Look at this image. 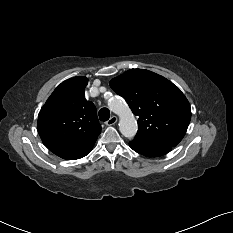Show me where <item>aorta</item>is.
<instances>
[{
	"label": "aorta",
	"instance_id": "762f6f07",
	"mask_svg": "<svg viewBox=\"0 0 233 233\" xmlns=\"http://www.w3.org/2000/svg\"><path fill=\"white\" fill-rule=\"evenodd\" d=\"M109 107L120 118L119 130L121 134L127 138L134 137L137 133L138 126L128 104L122 98L115 97L110 101Z\"/></svg>",
	"mask_w": 233,
	"mask_h": 233
}]
</instances>
